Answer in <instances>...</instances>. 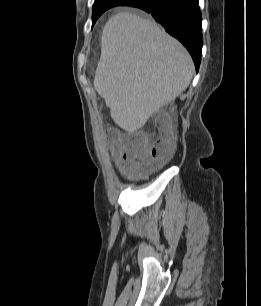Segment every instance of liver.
<instances>
[{
  "label": "liver",
  "mask_w": 261,
  "mask_h": 306,
  "mask_svg": "<svg viewBox=\"0 0 261 306\" xmlns=\"http://www.w3.org/2000/svg\"><path fill=\"white\" fill-rule=\"evenodd\" d=\"M193 74L186 49L154 21L123 12L105 24L94 87L125 131L143 127L182 94Z\"/></svg>",
  "instance_id": "1"
}]
</instances>
